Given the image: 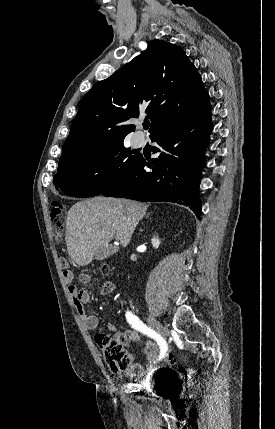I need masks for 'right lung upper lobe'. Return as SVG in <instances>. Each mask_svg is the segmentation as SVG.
Returning <instances> with one entry per match:
<instances>
[{"mask_svg": "<svg viewBox=\"0 0 275 429\" xmlns=\"http://www.w3.org/2000/svg\"><path fill=\"white\" fill-rule=\"evenodd\" d=\"M210 108L201 77L182 48L152 40L141 55L85 94L63 144L59 167L123 140L135 128L125 122L140 114L151 120L152 136Z\"/></svg>", "mask_w": 275, "mask_h": 429, "instance_id": "right-lung-upper-lobe-1", "label": "right lung upper lobe"}]
</instances>
